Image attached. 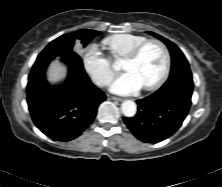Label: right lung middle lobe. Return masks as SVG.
I'll return each instance as SVG.
<instances>
[{
	"instance_id": "right-lung-middle-lobe-1",
	"label": "right lung middle lobe",
	"mask_w": 222,
	"mask_h": 187,
	"mask_svg": "<svg viewBox=\"0 0 222 187\" xmlns=\"http://www.w3.org/2000/svg\"><path fill=\"white\" fill-rule=\"evenodd\" d=\"M101 34L99 31L85 29L77 31L73 34H64L53 40L46 49L48 50H62L68 53L73 52V46L76 39H80L82 44L86 46L92 38Z\"/></svg>"
}]
</instances>
